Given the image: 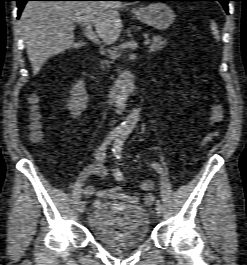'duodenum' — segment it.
Segmentation results:
<instances>
[{"instance_id":"410a0bca","label":"duodenum","mask_w":247,"mask_h":265,"mask_svg":"<svg viewBox=\"0 0 247 265\" xmlns=\"http://www.w3.org/2000/svg\"><path fill=\"white\" fill-rule=\"evenodd\" d=\"M134 89L133 75L129 71L123 72L116 85L109 92L107 98L110 104L121 105Z\"/></svg>"}]
</instances>
